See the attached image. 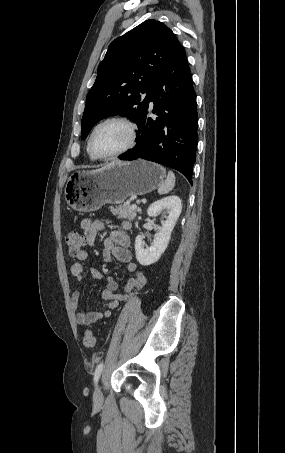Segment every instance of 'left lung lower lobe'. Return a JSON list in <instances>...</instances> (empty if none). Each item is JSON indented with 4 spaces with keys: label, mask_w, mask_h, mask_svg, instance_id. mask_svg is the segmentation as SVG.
Wrapping results in <instances>:
<instances>
[{
    "label": "left lung lower lobe",
    "mask_w": 285,
    "mask_h": 453,
    "mask_svg": "<svg viewBox=\"0 0 285 453\" xmlns=\"http://www.w3.org/2000/svg\"><path fill=\"white\" fill-rule=\"evenodd\" d=\"M149 106L137 125L136 146L119 156L121 160L143 158L181 172L192 183L198 143L196 94L184 48L175 49L160 73Z\"/></svg>",
    "instance_id": "0a47b994"
}]
</instances>
